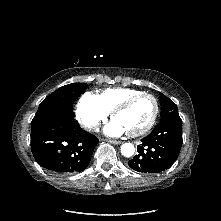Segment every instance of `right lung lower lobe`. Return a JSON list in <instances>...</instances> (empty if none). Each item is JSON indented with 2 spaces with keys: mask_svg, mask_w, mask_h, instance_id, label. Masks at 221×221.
Listing matches in <instances>:
<instances>
[{
  "mask_svg": "<svg viewBox=\"0 0 221 221\" xmlns=\"http://www.w3.org/2000/svg\"><path fill=\"white\" fill-rule=\"evenodd\" d=\"M71 106L54 110L32 123L31 149L37 163L59 174L83 171L98 138L80 128Z\"/></svg>",
  "mask_w": 221,
  "mask_h": 221,
  "instance_id": "98d812e1",
  "label": "right lung lower lobe"
}]
</instances>
